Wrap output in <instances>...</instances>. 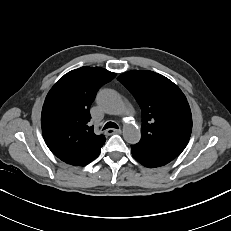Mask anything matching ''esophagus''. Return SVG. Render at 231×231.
<instances>
[{
	"mask_svg": "<svg viewBox=\"0 0 231 231\" xmlns=\"http://www.w3.org/2000/svg\"><path fill=\"white\" fill-rule=\"evenodd\" d=\"M106 134H120L121 133V129H108L105 132Z\"/></svg>",
	"mask_w": 231,
	"mask_h": 231,
	"instance_id": "34e87169",
	"label": "esophagus"
}]
</instances>
